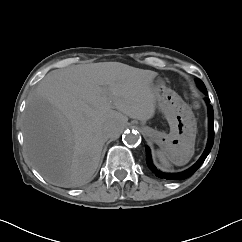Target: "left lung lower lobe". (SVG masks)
<instances>
[{
	"label": "left lung lower lobe",
	"instance_id": "0a47b994",
	"mask_svg": "<svg viewBox=\"0 0 242 242\" xmlns=\"http://www.w3.org/2000/svg\"><path fill=\"white\" fill-rule=\"evenodd\" d=\"M208 105V110H209V138H208V144L207 147L200 157V159L189 169L180 172V173H163L159 171L152 163L151 161V155H150V149L148 147H145L146 149V162L150 170L159 178H164L167 180H183L188 177H190L204 162L206 157L208 156L209 152L211 151V148L214 143V112H213V107L209 104L210 100L205 99Z\"/></svg>",
	"mask_w": 242,
	"mask_h": 242
}]
</instances>
